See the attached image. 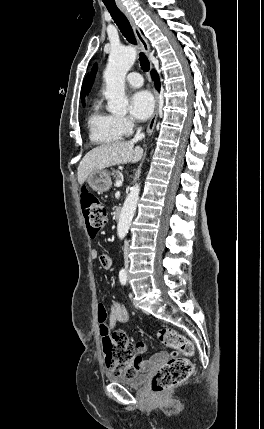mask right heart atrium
Segmentation results:
<instances>
[{"label": "right heart atrium", "mask_w": 264, "mask_h": 429, "mask_svg": "<svg viewBox=\"0 0 264 429\" xmlns=\"http://www.w3.org/2000/svg\"><path fill=\"white\" fill-rule=\"evenodd\" d=\"M117 125L123 136L130 135L133 132L135 126L133 120L126 116H118Z\"/></svg>", "instance_id": "obj_1"}]
</instances>
